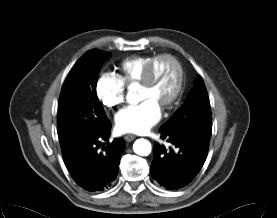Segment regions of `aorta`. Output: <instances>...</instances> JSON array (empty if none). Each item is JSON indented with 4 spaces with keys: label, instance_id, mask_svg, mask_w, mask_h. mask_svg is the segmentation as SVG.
Returning a JSON list of instances; mask_svg holds the SVG:
<instances>
[{
    "label": "aorta",
    "instance_id": "aorta-1",
    "mask_svg": "<svg viewBox=\"0 0 277 218\" xmlns=\"http://www.w3.org/2000/svg\"><path fill=\"white\" fill-rule=\"evenodd\" d=\"M139 100L135 93H129L127 95V101L129 103H136ZM151 143L143 138L137 139L133 144L134 152L139 156H148L151 153Z\"/></svg>",
    "mask_w": 277,
    "mask_h": 218
}]
</instances>
